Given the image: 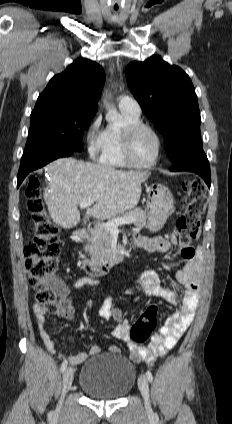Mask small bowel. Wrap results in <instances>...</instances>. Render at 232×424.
I'll list each match as a JSON object with an SVG mask.
<instances>
[{
    "label": "small bowel",
    "mask_w": 232,
    "mask_h": 424,
    "mask_svg": "<svg viewBox=\"0 0 232 424\" xmlns=\"http://www.w3.org/2000/svg\"><path fill=\"white\" fill-rule=\"evenodd\" d=\"M133 242L136 246L152 252L165 253L173 245L177 244L176 237L148 238L139 234L133 235ZM202 255L192 257L176 273V279L185 286L182 298L178 294L163 285L161 275L156 271H145L134 282L128 293L142 291L150 296L159 297L167 300L173 305L179 307L161 327L160 331L154 334L147 346H139L130 340V324L124 319L121 310L112 305V299L107 298L102 303L99 314L105 320H112L115 326L112 330L114 338L125 342L128 346L129 357L135 363L145 362L152 364L157 358L165 356L177 344L181 336L191 324L195 311L198 307V294L200 291V280L202 276ZM97 281L88 277H78L72 284L74 288H80L87 285H96ZM69 287L59 281V294L63 298L62 305L64 313L62 317L72 320L74 309L71 303L66 300L69 294ZM34 316L40 331L42 340L50 351L55 350V341L46 329V309L44 306L35 304L33 307ZM100 347L96 344L90 347L89 353L79 352L71 356L70 361L73 364L82 363L88 355H97L100 353ZM109 351L113 354L120 353L117 345H111Z\"/></svg>",
    "instance_id": "c3829d8e"
}]
</instances>
